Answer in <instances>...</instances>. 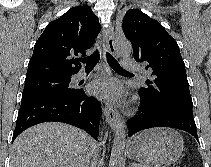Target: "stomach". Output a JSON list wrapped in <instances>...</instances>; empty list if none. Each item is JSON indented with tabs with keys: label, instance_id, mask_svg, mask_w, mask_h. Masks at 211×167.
I'll return each instance as SVG.
<instances>
[{
	"label": "stomach",
	"instance_id": "0dacf381",
	"mask_svg": "<svg viewBox=\"0 0 211 167\" xmlns=\"http://www.w3.org/2000/svg\"><path fill=\"white\" fill-rule=\"evenodd\" d=\"M183 148V138L177 131L152 128L128 143L127 154L143 167H168L180 158Z\"/></svg>",
	"mask_w": 211,
	"mask_h": 167
}]
</instances>
